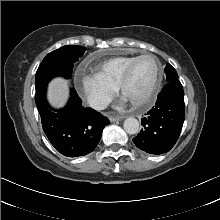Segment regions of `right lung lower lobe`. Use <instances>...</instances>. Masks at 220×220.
<instances>
[{"instance_id":"1","label":"right lung lower lobe","mask_w":220,"mask_h":220,"mask_svg":"<svg viewBox=\"0 0 220 220\" xmlns=\"http://www.w3.org/2000/svg\"><path fill=\"white\" fill-rule=\"evenodd\" d=\"M35 102L43 131L55 149L64 156L78 157L92 152L110 122L92 108H84L74 89L66 107L55 110L46 100V87L36 92Z\"/></svg>"}]
</instances>
